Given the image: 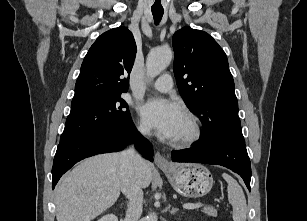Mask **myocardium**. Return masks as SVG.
I'll list each match as a JSON object with an SVG mask.
<instances>
[{"label": "myocardium", "instance_id": "obj_1", "mask_svg": "<svg viewBox=\"0 0 307 221\" xmlns=\"http://www.w3.org/2000/svg\"><path fill=\"white\" fill-rule=\"evenodd\" d=\"M184 117L188 119L191 125V131L184 137L174 139L172 145L178 148H186L196 143L202 135V127L199 118L192 112H184Z\"/></svg>", "mask_w": 307, "mask_h": 221}]
</instances>
